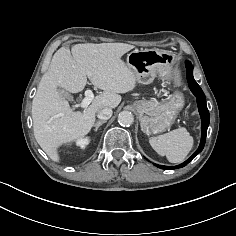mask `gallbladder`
Listing matches in <instances>:
<instances>
[{"label": "gallbladder", "instance_id": "obj_1", "mask_svg": "<svg viewBox=\"0 0 236 236\" xmlns=\"http://www.w3.org/2000/svg\"><path fill=\"white\" fill-rule=\"evenodd\" d=\"M59 90H61V89L59 88ZM63 96H64L68 101H73V96H72L70 93H68V92H63Z\"/></svg>", "mask_w": 236, "mask_h": 236}]
</instances>
